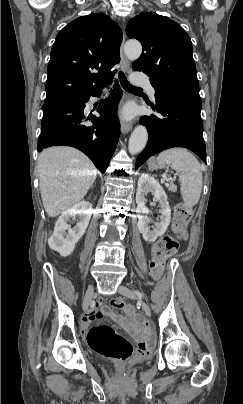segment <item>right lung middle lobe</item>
Listing matches in <instances>:
<instances>
[{"mask_svg": "<svg viewBox=\"0 0 243 404\" xmlns=\"http://www.w3.org/2000/svg\"><path fill=\"white\" fill-rule=\"evenodd\" d=\"M46 106H48V105H43V108L46 107Z\"/></svg>", "mask_w": 243, "mask_h": 404, "instance_id": "right-lung-middle-lobe-1", "label": "right lung middle lobe"}]
</instances>
